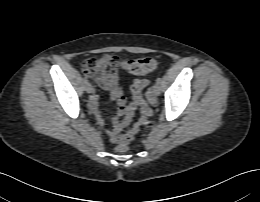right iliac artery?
<instances>
[{
	"label": "right iliac artery",
	"mask_w": 260,
	"mask_h": 202,
	"mask_svg": "<svg viewBox=\"0 0 260 202\" xmlns=\"http://www.w3.org/2000/svg\"><path fill=\"white\" fill-rule=\"evenodd\" d=\"M84 83L87 84L88 83V80L87 78H84Z\"/></svg>",
	"instance_id": "obj_1"
}]
</instances>
